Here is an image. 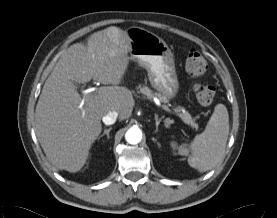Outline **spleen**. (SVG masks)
<instances>
[{
  "label": "spleen",
  "mask_w": 277,
  "mask_h": 218,
  "mask_svg": "<svg viewBox=\"0 0 277 218\" xmlns=\"http://www.w3.org/2000/svg\"><path fill=\"white\" fill-rule=\"evenodd\" d=\"M229 134V115L225 105L218 104L204 132L195 136L189 147L180 146L179 154L190 155L189 164L200 172L212 169L222 158Z\"/></svg>",
  "instance_id": "spleen-1"
}]
</instances>
